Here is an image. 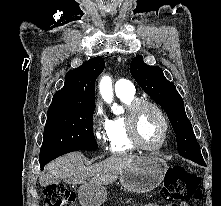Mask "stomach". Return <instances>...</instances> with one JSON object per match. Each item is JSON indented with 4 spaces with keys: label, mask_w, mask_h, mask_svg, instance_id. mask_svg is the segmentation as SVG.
Listing matches in <instances>:
<instances>
[{
    "label": "stomach",
    "mask_w": 221,
    "mask_h": 206,
    "mask_svg": "<svg viewBox=\"0 0 221 206\" xmlns=\"http://www.w3.org/2000/svg\"><path fill=\"white\" fill-rule=\"evenodd\" d=\"M168 166L158 157L148 155L135 158L121 173L122 187L133 193H147L158 187L164 180ZM107 197L104 186L93 183L83 184L78 189L82 206H100Z\"/></svg>",
    "instance_id": "obj_1"
}]
</instances>
